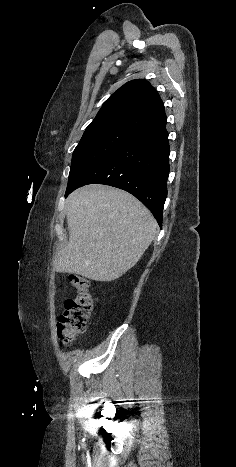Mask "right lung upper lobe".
Returning <instances> with one entry per match:
<instances>
[{"label": "right lung upper lobe", "instance_id": "1", "mask_svg": "<svg viewBox=\"0 0 236 467\" xmlns=\"http://www.w3.org/2000/svg\"><path fill=\"white\" fill-rule=\"evenodd\" d=\"M166 121L162 100L151 84L143 79L127 82L115 91L88 125L120 126L145 131Z\"/></svg>", "mask_w": 236, "mask_h": 467}]
</instances>
